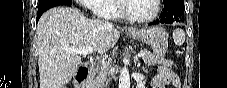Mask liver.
<instances>
[{
	"mask_svg": "<svg viewBox=\"0 0 227 88\" xmlns=\"http://www.w3.org/2000/svg\"><path fill=\"white\" fill-rule=\"evenodd\" d=\"M120 33L113 25L91 20L78 9L54 7L37 24L40 88H64L81 63V55L65 49L91 47L103 54L113 48Z\"/></svg>",
	"mask_w": 227,
	"mask_h": 88,
	"instance_id": "6515ba94",
	"label": "liver"
}]
</instances>
